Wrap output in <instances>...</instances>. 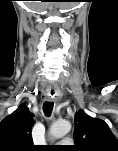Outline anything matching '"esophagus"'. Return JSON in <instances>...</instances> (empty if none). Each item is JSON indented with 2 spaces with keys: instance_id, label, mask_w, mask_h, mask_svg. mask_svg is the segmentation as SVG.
<instances>
[{
  "instance_id": "esophagus-1",
  "label": "esophagus",
  "mask_w": 118,
  "mask_h": 151,
  "mask_svg": "<svg viewBox=\"0 0 118 151\" xmlns=\"http://www.w3.org/2000/svg\"><path fill=\"white\" fill-rule=\"evenodd\" d=\"M57 93H58V91H57L56 87L50 86L46 92L47 100L51 101L57 95Z\"/></svg>"
}]
</instances>
